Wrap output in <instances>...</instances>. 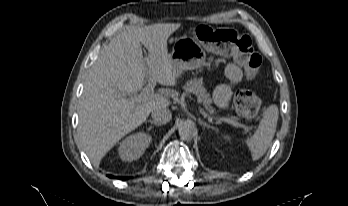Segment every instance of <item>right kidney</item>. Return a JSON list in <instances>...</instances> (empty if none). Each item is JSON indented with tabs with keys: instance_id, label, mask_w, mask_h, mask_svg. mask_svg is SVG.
<instances>
[{
	"instance_id": "1",
	"label": "right kidney",
	"mask_w": 348,
	"mask_h": 206,
	"mask_svg": "<svg viewBox=\"0 0 348 206\" xmlns=\"http://www.w3.org/2000/svg\"><path fill=\"white\" fill-rule=\"evenodd\" d=\"M151 142L145 133H135L126 137L119 146V156L123 161L131 162L139 159Z\"/></svg>"
}]
</instances>
